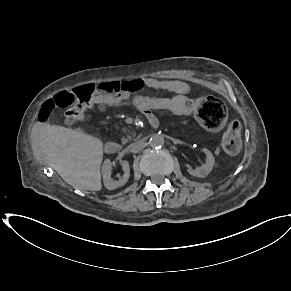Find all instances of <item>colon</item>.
I'll return each mask as SVG.
<instances>
[{
	"label": "colon",
	"instance_id": "5ec220e1",
	"mask_svg": "<svg viewBox=\"0 0 291 291\" xmlns=\"http://www.w3.org/2000/svg\"><path fill=\"white\" fill-rule=\"evenodd\" d=\"M127 89L123 82L107 83L100 86L89 84L70 91H61L49 98L42 105L38 120L44 122L50 113L56 109H65V119L68 123H76L83 113L90 107L100 104L111 97H115ZM137 104L143 106L145 112L152 107L159 111L173 113L175 118H187L195 114L197 120L208 130L217 131L226 122L227 113L224 104L213 96L190 98L189 96L170 97L169 93H160L155 97L147 93L137 99ZM241 125L232 121L223 136L222 146L228 153H236L241 144Z\"/></svg>",
	"mask_w": 291,
	"mask_h": 291
}]
</instances>
